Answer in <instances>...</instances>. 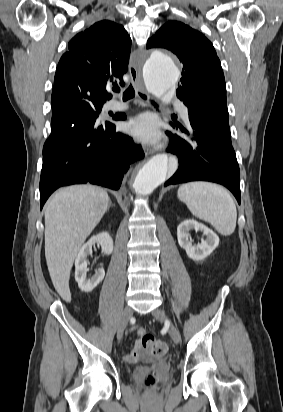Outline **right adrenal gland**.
Returning a JSON list of instances; mask_svg holds the SVG:
<instances>
[{
  "label": "right adrenal gland",
  "instance_id": "right-adrenal-gland-1",
  "mask_svg": "<svg viewBox=\"0 0 283 412\" xmlns=\"http://www.w3.org/2000/svg\"><path fill=\"white\" fill-rule=\"evenodd\" d=\"M111 206H115V204H112L111 201H110L108 207H111Z\"/></svg>",
  "mask_w": 283,
  "mask_h": 412
}]
</instances>
